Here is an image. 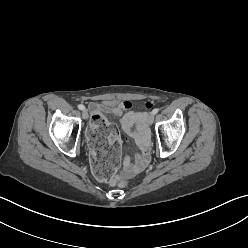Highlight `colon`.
I'll list each match as a JSON object with an SVG mask.
<instances>
[{
  "mask_svg": "<svg viewBox=\"0 0 248 248\" xmlns=\"http://www.w3.org/2000/svg\"><path fill=\"white\" fill-rule=\"evenodd\" d=\"M152 106L153 103L150 101L145 103L147 109H151ZM84 130L90 141L89 157L96 178L100 181L118 182L119 187L126 188L129 185L128 179L116 175L121 155L119 141L112 138V135L117 136L116 126L111 124L102 114L95 113L92 122L87 123Z\"/></svg>",
  "mask_w": 248,
  "mask_h": 248,
  "instance_id": "obj_1",
  "label": "colon"
}]
</instances>
